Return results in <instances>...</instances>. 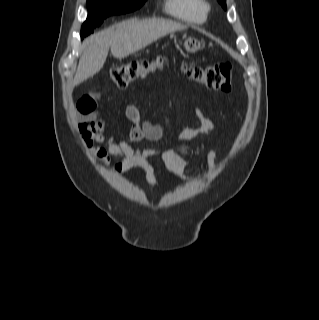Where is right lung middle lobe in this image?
<instances>
[{
  "label": "right lung middle lobe",
  "mask_w": 319,
  "mask_h": 320,
  "mask_svg": "<svg viewBox=\"0 0 319 320\" xmlns=\"http://www.w3.org/2000/svg\"><path fill=\"white\" fill-rule=\"evenodd\" d=\"M146 0H87L88 17L83 23L81 37L93 32L103 20L115 14L129 13L139 9Z\"/></svg>",
  "instance_id": "dd1d6c3e"
}]
</instances>
